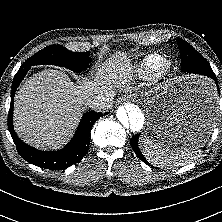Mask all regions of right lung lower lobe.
<instances>
[{"label":"right lung lower lobe","mask_w":222,"mask_h":222,"mask_svg":"<svg viewBox=\"0 0 222 222\" xmlns=\"http://www.w3.org/2000/svg\"><path fill=\"white\" fill-rule=\"evenodd\" d=\"M30 67L31 66L22 64L14 77L8 116V129L11 133L18 153L24 160L41 168H46L50 170H62L72 164L79 162L86 155L90 145V131L94 123L103 114L95 111L86 112L83 115L72 140L63 149H60L58 151H40L25 144L18 138L14 131L12 122L14 102L13 99L19 83L23 80Z\"/></svg>","instance_id":"1"}]
</instances>
